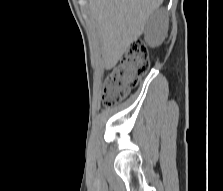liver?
Wrapping results in <instances>:
<instances>
[{
    "label": "liver",
    "instance_id": "liver-1",
    "mask_svg": "<svg viewBox=\"0 0 223 191\" xmlns=\"http://www.w3.org/2000/svg\"><path fill=\"white\" fill-rule=\"evenodd\" d=\"M163 0H89L102 44L103 62L114 67L145 30Z\"/></svg>",
    "mask_w": 223,
    "mask_h": 191
}]
</instances>
